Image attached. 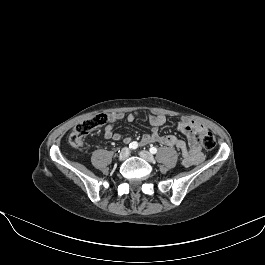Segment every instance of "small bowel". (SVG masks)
<instances>
[{"label": "small bowel", "mask_w": 265, "mask_h": 265, "mask_svg": "<svg viewBox=\"0 0 265 265\" xmlns=\"http://www.w3.org/2000/svg\"><path fill=\"white\" fill-rule=\"evenodd\" d=\"M138 113L135 111H131L127 114L126 118L128 121H133L137 117ZM110 124L106 125L104 128V137L106 139L112 140H124L125 142L130 141L129 136H125L121 133L113 132L112 123L119 121L124 118V114L117 112L111 113L109 116ZM166 121V118L162 114L150 113L149 114V123L151 125L150 132L144 134L141 138V145H148L151 143H158L163 146L174 147L176 148L180 154L182 163L184 166L189 167L192 165L199 164L203 161L204 155L201 151L200 144L196 139V134L199 131L206 130V127L193 119L183 117L181 120L177 122V129L181 131L186 139L185 142L183 139L174 136V135H166L161 136L158 133V128L162 126Z\"/></svg>", "instance_id": "1"}]
</instances>
